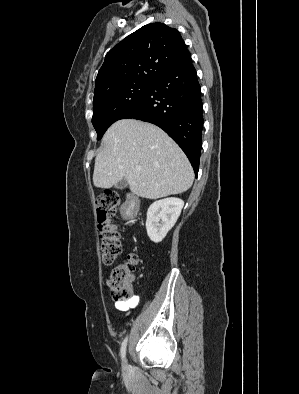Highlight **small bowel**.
I'll return each mask as SVG.
<instances>
[{
	"mask_svg": "<svg viewBox=\"0 0 299 394\" xmlns=\"http://www.w3.org/2000/svg\"><path fill=\"white\" fill-rule=\"evenodd\" d=\"M139 297L133 296L128 301H117L115 302V308L121 313H129L130 310L136 307L138 304Z\"/></svg>",
	"mask_w": 299,
	"mask_h": 394,
	"instance_id": "c3829d8e",
	"label": "small bowel"
}]
</instances>
